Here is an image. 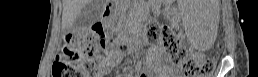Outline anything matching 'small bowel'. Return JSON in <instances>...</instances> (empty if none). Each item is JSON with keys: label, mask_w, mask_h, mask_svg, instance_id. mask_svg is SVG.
<instances>
[{"label": "small bowel", "mask_w": 258, "mask_h": 77, "mask_svg": "<svg viewBox=\"0 0 258 77\" xmlns=\"http://www.w3.org/2000/svg\"><path fill=\"white\" fill-rule=\"evenodd\" d=\"M121 55L117 52H112L101 58L99 69L95 74L96 77H101L106 75L111 71L112 68L117 66L120 63ZM162 66L156 61L155 54H151L149 58V65L147 67V71L150 70H160ZM166 68V73H171V70L168 66H164Z\"/></svg>", "instance_id": "c3829d8e"}]
</instances>
